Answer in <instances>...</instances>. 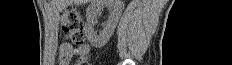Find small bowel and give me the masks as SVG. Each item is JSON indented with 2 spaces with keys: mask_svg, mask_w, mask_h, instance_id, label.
<instances>
[{
  "mask_svg": "<svg viewBox=\"0 0 232 65\" xmlns=\"http://www.w3.org/2000/svg\"><path fill=\"white\" fill-rule=\"evenodd\" d=\"M88 51V47L85 46L80 50V53H86ZM72 56V47L69 44H63L61 46V58L64 62H68L70 57Z\"/></svg>",
  "mask_w": 232,
  "mask_h": 65,
  "instance_id": "c3829d8e",
  "label": "small bowel"
}]
</instances>
